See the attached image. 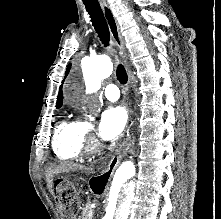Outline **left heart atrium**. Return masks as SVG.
Here are the masks:
<instances>
[{
	"instance_id": "1",
	"label": "left heart atrium",
	"mask_w": 221,
	"mask_h": 219,
	"mask_svg": "<svg viewBox=\"0 0 221 219\" xmlns=\"http://www.w3.org/2000/svg\"><path fill=\"white\" fill-rule=\"evenodd\" d=\"M128 113L123 106H111L101 116L98 126V136L105 141L117 138L125 128Z\"/></svg>"
}]
</instances>
